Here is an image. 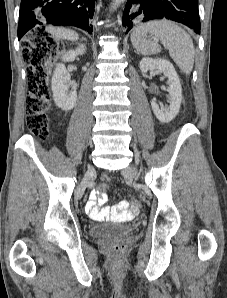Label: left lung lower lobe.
<instances>
[{"mask_svg": "<svg viewBox=\"0 0 227 298\" xmlns=\"http://www.w3.org/2000/svg\"><path fill=\"white\" fill-rule=\"evenodd\" d=\"M154 19L177 21L200 34L198 0H127L122 20L127 32L137 23Z\"/></svg>", "mask_w": 227, "mask_h": 298, "instance_id": "left-lung-lower-lobe-1", "label": "left lung lower lobe"}]
</instances>
